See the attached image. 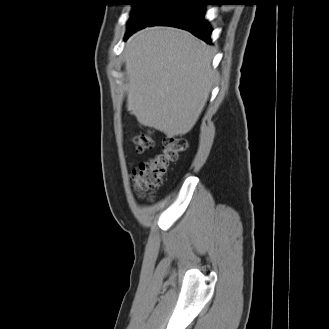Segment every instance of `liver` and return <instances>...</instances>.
<instances>
[{"label": "liver", "mask_w": 329, "mask_h": 329, "mask_svg": "<svg viewBox=\"0 0 329 329\" xmlns=\"http://www.w3.org/2000/svg\"><path fill=\"white\" fill-rule=\"evenodd\" d=\"M212 50L187 31L148 27L124 49L127 109L137 121L168 137L196 124L214 81Z\"/></svg>", "instance_id": "1"}]
</instances>
